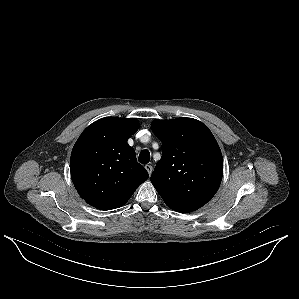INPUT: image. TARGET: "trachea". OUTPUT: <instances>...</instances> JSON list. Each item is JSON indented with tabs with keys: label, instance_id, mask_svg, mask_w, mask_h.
I'll return each instance as SVG.
<instances>
[{
	"label": "trachea",
	"instance_id": "trachea-1",
	"mask_svg": "<svg viewBox=\"0 0 299 299\" xmlns=\"http://www.w3.org/2000/svg\"><path fill=\"white\" fill-rule=\"evenodd\" d=\"M138 160L142 164H147L150 160V152L147 149L141 151Z\"/></svg>",
	"mask_w": 299,
	"mask_h": 299
}]
</instances>
